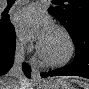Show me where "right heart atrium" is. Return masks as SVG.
Instances as JSON below:
<instances>
[{
	"instance_id": "obj_1",
	"label": "right heart atrium",
	"mask_w": 89,
	"mask_h": 89,
	"mask_svg": "<svg viewBox=\"0 0 89 89\" xmlns=\"http://www.w3.org/2000/svg\"><path fill=\"white\" fill-rule=\"evenodd\" d=\"M24 44H25V43H24V41H23L21 38H18V39H17L16 45H17V48H18L19 50L23 49Z\"/></svg>"
}]
</instances>
